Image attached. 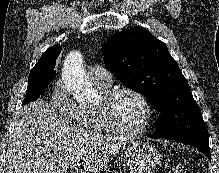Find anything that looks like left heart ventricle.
I'll use <instances>...</instances> for the list:
<instances>
[{
	"label": "left heart ventricle",
	"mask_w": 219,
	"mask_h": 173,
	"mask_svg": "<svg viewBox=\"0 0 219 173\" xmlns=\"http://www.w3.org/2000/svg\"><path fill=\"white\" fill-rule=\"evenodd\" d=\"M114 122L122 129H137L144 117V107L134 95L124 93L117 97L110 108Z\"/></svg>",
	"instance_id": "obj_1"
}]
</instances>
